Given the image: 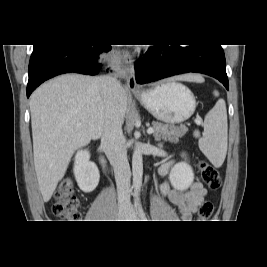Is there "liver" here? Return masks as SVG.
<instances>
[{
    "mask_svg": "<svg viewBox=\"0 0 267 267\" xmlns=\"http://www.w3.org/2000/svg\"><path fill=\"white\" fill-rule=\"evenodd\" d=\"M174 80L204 82L195 74ZM110 95L101 77L62 75L44 83L30 97L35 172L44 202L64 177L74 152L102 136ZM115 103L122 122L127 94L121 87Z\"/></svg>",
    "mask_w": 267,
    "mask_h": 267,
    "instance_id": "liver-1",
    "label": "liver"
}]
</instances>
